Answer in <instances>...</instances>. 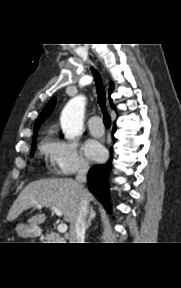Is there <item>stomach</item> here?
Segmentation results:
<instances>
[{
    "mask_svg": "<svg viewBox=\"0 0 181 288\" xmlns=\"http://www.w3.org/2000/svg\"><path fill=\"white\" fill-rule=\"evenodd\" d=\"M16 231L20 237H37L40 234L39 229H36L30 225L19 224L16 227Z\"/></svg>",
    "mask_w": 181,
    "mask_h": 288,
    "instance_id": "obj_1",
    "label": "stomach"
}]
</instances>
